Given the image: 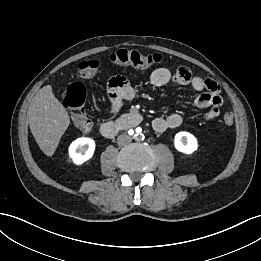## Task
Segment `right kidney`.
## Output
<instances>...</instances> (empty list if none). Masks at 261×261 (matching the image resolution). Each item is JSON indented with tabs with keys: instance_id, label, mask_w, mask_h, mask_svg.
I'll list each match as a JSON object with an SVG mask.
<instances>
[{
	"instance_id": "obj_1",
	"label": "right kidney",
	"mask_w": 261,
	"mask_h": 261,
	"mask_svg": "<svg viewBox=\"0 0 261 261\" xmlns=\"http://www.w3.org/2000/svg\"><path fill=\"white\" fill-rule=\"evenodd\" d=\"M94 150V140L87 137H81L71 143L69 147V156L73 163L81 165L93 156Z\"/></svg>"
}]
</instances>
